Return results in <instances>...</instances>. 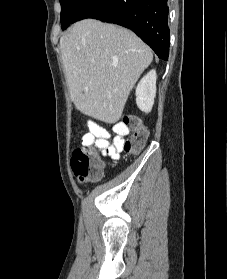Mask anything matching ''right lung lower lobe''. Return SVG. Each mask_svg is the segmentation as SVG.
<instances>
[{
	"label": "right lung lower lobe",
	"mask_w": 227,
	"mask_h": 279,
	"mask_svg": "<svg viewBox=\"0 0 227 279\" xmlns=\"http://www.w3.org/2000/svg\"><path fill=\"white\" fill-rule=\"evenodd\" d=\"M167 0H85L73 23L98 19L131 29L163 60L168 59L170 33Z\"/></svg>",
	"instance_id": "obj_1"
}]
</instances>
